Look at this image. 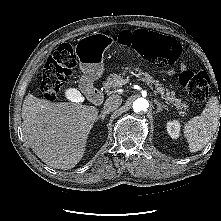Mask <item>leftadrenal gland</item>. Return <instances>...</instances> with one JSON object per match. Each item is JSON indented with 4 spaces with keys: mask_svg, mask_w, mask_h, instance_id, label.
<instances>
[{
    "mask_svg": "<svg viewBox=\"0 0 221 221\" xmlns=\"http://www.w3.org/2000/svg\"><path fill=\"white\" fill-rule=\"evenodd\" d=\"M154 103L157 105V112H161L163 109H166L164 105H162L159 101L156 99L154 100Z\"/></svg>",
    "mask_w": 221,
    "mask_h": 221,
    "instance_id": "obj_1",
    "label": "left adrenal gland"
}]
</instances>
